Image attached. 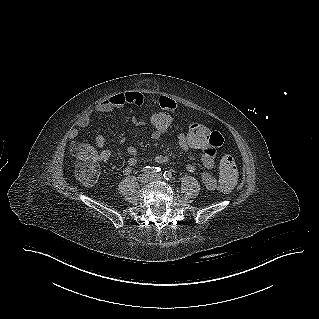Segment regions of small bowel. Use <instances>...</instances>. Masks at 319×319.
<instances>
[{
  "mask_svg": "<svg viewBox=\"0 0 319 319\" xmlns=\"http://www.w3.org/2000/svg\"><path fill=\"white\" fill-rule=\"evenodd\" d=\"M145 102L144 95L139 91H128L124 93H119L113 95L96 105L93 111L87 112L81 116L77 123V128L73 129L69 133V139L71 143H75L78 141H74L78 136V129H85L87 128L92 121L93 114H105L114 109L123 107L125 105H135L141 106ZM157 107L161 108L163 113H174L176 107V100L175 99H168L166 97H160L157 100ZM134 124H138L139 122L134 119ZM161 135L154 134L151 132V138L158 139ZM210 140L208 144L204 146L202 150V154L200 156L201 163L203 167L206 169L201 174L202 181L204 185L210 189L214 190L217 187V179L216 177L210 172L213 168L215 163V157L217 154V150L219 149L221 143L223 142V130L222 129H211L210 130ZM179 145L184 151H188L190 148L183 142L182 133L178 136ZM82 146H89L87 143L79 142ZM95 146L97 148H102L105 144V139L102 135H97L94 140ZM128 158V166L125 168V173L129 174L132 171V167L137 163V149L133 146L127 148ZM97 159L101 161H107L110 159L112 155V150L110 149H101L98 152H95ZM155 162L158 163H165L169 160L167 156H156ZM187 170L189 172H194L196 170V166L194 164H188Z\"/></svg>",
  "mask_w": 319,
  "mask_h": 319,
  "instance_id": "c3829d8e",
  "label": "small bowel"
}]
</instances>
